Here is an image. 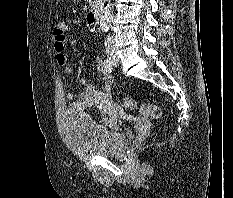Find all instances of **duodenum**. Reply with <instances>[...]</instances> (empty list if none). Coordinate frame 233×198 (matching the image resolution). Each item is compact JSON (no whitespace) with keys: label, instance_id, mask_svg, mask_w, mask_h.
Segmentation results:
<instances>
[{"label":"duodenum","instance_id":"1","mask_svg":"<svg viewBox=\"0 0 233 198\" xmlns=\"http://www.w3.org/2000/svg\"><path fill=\"white\" fill-rule=\"evenodd\" d=\"M101 17V11L99 9H94L87 15V22L89 25L98 24Z\"/></svg>","mask_w":233,"mask_h":198}]
</instances>
